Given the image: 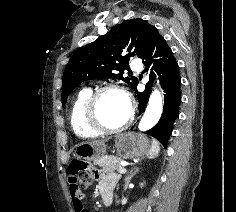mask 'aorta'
<instances>
[{"instance_id":"1","label":"aorta","mask_w":236,"mask_h":212,"mask_svg":"<svg viewBox=\"0 0 236 212\" xmlns=\"http://www.w3.org/2000/svg\"><path fill=\"white\" fill-rule=\"evenodd\" d=\"M162 110V96L158 90H154L150 96L146 111L139 122V129L146 131L154 127L161 117Z\"/></svg>"}]
</instances>
